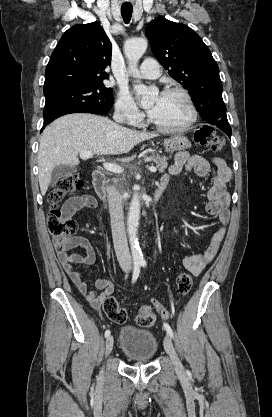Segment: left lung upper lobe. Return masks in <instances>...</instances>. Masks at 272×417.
<instances>
[{
	"label": "left lung upper lobe",
	"mask_w": 272,
	"mask_h": 417,
	"mask_svg": "<svg viewBox=\"0 0 272 417\" xmlns=\"http://www.w3.org/2000/svg\"><path fill=\"white\" fill-rule=\"evenodd\" d=\"M146 36L168 74L189 92L201 117L221 130H231L222 99L219 69L200 36L184 24L158 17Z\"/></svg>",
	"instance_id": "1"
}]
</instances>
